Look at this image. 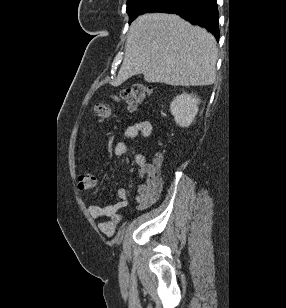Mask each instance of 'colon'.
Instances as JSON below:
<instances>
[{"label": "colon", "mask_w": 286, "mask_h": 308, "mask_svg": "<svg viewBox=\"0 0 286 308\" xmlns=\"http://www.w3.org/2000/svg\"><path fill=\"white\" fill-rule=\"evenodd\" d=\"M152 90L145 85H135L120 93L116 100L121 102L130 111L135 110L138 105L149 98ZM96 113L101 121H106L113 115V106L108 103H99L96 105ZM97 176L93 172H85L78 176V189L80 191L90 190L95 187Z\"/></svg>", "instance_id": "5ec220e1"}]
</instances>
